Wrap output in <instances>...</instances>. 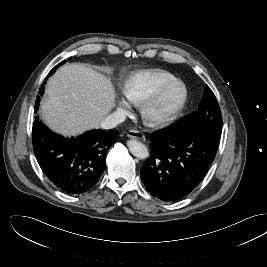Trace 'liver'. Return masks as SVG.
Returning a JSON list of instances; mask_svg holds the SVG:
<instances>
[{"instance_id": "6515ba94", "label": "liver", "mask_w": 267, "mask_h": 267, "mask_svg": "<svg viewBox=\"0 0 267 267\" xmlns=\"http://www.w3.org/2000/svg\"><path fill=\"white\" fill-rule=\"evenodd\" d=\"M115 106L111 81L81 64L57 70L47 82V99L41 104L44 122L54 131L75 136L100 127Z\"/></svg>"}]
</instances>
